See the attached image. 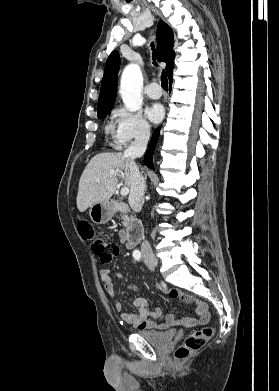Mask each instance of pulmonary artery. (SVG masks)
Here are the masks:
<instances>
[{
	"label": "pulmonary artery",
	"instance_id": "pulmonary-artery-1",
	"mask_svg": "<svg viewBox=\"0 0 279 391\" xmlns=\"http://www.w3.org/2000/svg\"><path fill=\"white\" fill-rule=\"evenodd\" d=\"M145 93L148 97L152 98V99H158L161 97L162 95V90L160 89L158 83L156 82H152L150 83L146 90H145Z\"/></svg>",
	"mask_w": 279,
	"mask_h": 391
}]
</instances>
